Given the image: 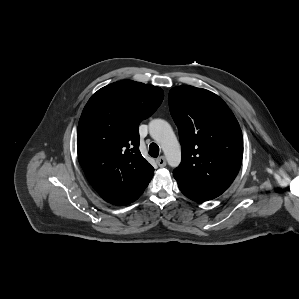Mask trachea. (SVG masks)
Returning <instances> with one entry per match:
<instances>
[{"label": "trachea", "instance_id": "3493384b", "mask_svg": "<svg viewBox=\"0 0 299 299\" xmlns=\"http://www.w3.org/2000/svg\"><path fill=\"white\" fill-rule=\"evenodd\" d=\"M149 155L151 157L157 158L159 155V147L156 143H151L149 146Z\"/></svg>", "mask_w": 299, "mask_h": 299}]
</instances>
